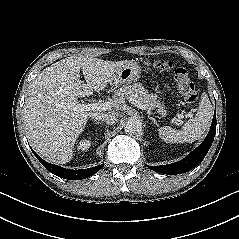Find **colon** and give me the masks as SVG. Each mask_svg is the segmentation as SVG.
Wrapping results in <instances>:
<instances>
[{
  "mask_svg": "<svg viewBox=\"0 0 239 239\" xmlns=\"http://www.w3.org/2000/svg\"><path fill=\"white\" fill-rule=\"evenodd\" d=\"M151 66L160 71L171 72L176 81L178 91L184 100L191 105H195L197 103L198 92L196 86L189 77L188 71L184 67L175 65L168 61H158L151 64Z\"/></svg>",
  "mask_w": 239,
  "mask_h": 239,
  "instance_id": "5ec220e1",
  "label": "colon"
}]
</instances>
